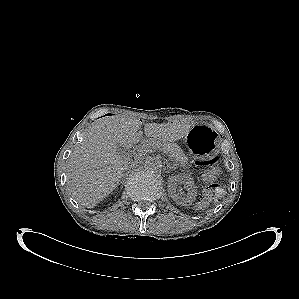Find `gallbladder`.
Returning a JSON list of instances; mask_svg holds the SVG:
<instances>
[{"label":"gallbladder","instance_id":"gallbladder-1","mask_svg":"<svg viewBox=\"0 0 299 299\" xmlns=\"http://www.w3.org/2000/svg\"><path fill=\"white\" fill-rule=\"evenodd\" d=\"M117 151L121 156H126L128 151L124 147L117 145Z\"/></svg>","mask_w":299,"mask_h":299}]
</instances>
